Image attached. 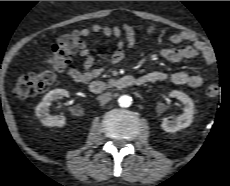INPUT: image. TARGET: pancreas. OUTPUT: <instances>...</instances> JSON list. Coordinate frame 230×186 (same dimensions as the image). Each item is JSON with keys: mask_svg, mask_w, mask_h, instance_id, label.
Here are the masks:
<instances>
[{"mask_svg": "<svg viewBox=\"0 0 230 186\" xmlns=\"http://www.w3.org/2000/svg\"><path fill=\"white\" fill-rule=\"evenodd\" d=\"M109 82H110V83H113V82H114V80H112V79H111V80H109Z\"/></svg>", "mask_w": 230, "mask_h": 186, "instance_id": "obj_1", "label": "pancreas"}]
</instances>
